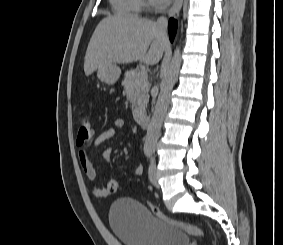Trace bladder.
Segmentation results:
<instances>
[{
	"label": "bladder",
	"mask_w": 283,
	"mask_h": 245,
	"mask_svg": "<svg viewBox=\"0 0 283 245\" xmlns=\"http://www.w3.org/2000/svg\"><path fill=\"white\" fill-rule=\"evenodd\" d=\"M112 230L125 245H190L189 236L130 198L114 201L109 210Z\"/></svg>",
	"instance_id": "obj_1"
}]
</instances>
